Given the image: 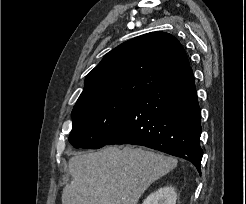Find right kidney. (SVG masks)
<instances>
[{"mask_svg":"<svg viewBox=\"0 0 246 204\" xmlns=\"http://www.w3.org/2000/svg\"><path fill=\"white\" fill-rule=\"evenodd\" d=\"M177 194L173 187H162L150 194L142 204H176Z\"/></svg>","mask_w":246,"mask_h":204,"instance_id":"1","label":"right kidney"}]
</instances>
